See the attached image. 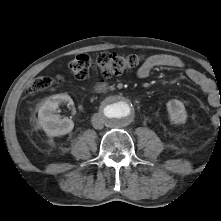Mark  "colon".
Wrapping results in <instances>:
<instances>
[{"label": "colon", "instance_id": "5ec220e1", "mask_svg": "<svg viewBox=\"0 0 221 221\" xmlns=\"http://www.w3.org/2000/svg\"><path fill=\"white\" fill-rule=\"evenodd\" d=\"M139 54L118 55L110 52H101L96 56L87 54L77 55L69 62V69L80 80L89 78L99 72L106 78L134 70L141 62ZM61 76H41L35 78L27 88V94L32 95L53 85L61 84ZM214 121L221 126V111L214 116Z\"/></svg>", "mask_w": 221, "mask_h": 221}]
</instances>
